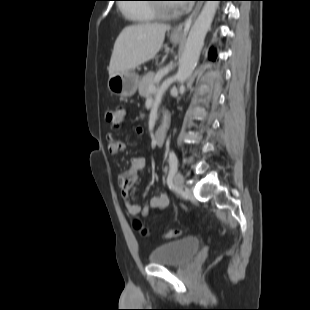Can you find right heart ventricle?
Returning a JSON list of instances; mask_svg holds the SVG:
<instances>
[{
  "mask_svg": "<svg viewBox=\"0 0 310 310\" xmlns=\"http://www.w3.org/2000/svg\"><path fill=\"white\" fill-rule=\"evenodd\" d=\"M123 12L127 17L138 23H149L157 18V13L153 5H126L123 7Z\"/></svg>",
  "mask_w": 310,
  "mask_h": 310,
  "instance_id": "1",
  "label": "right heart ventricle"
}]
</instances>
